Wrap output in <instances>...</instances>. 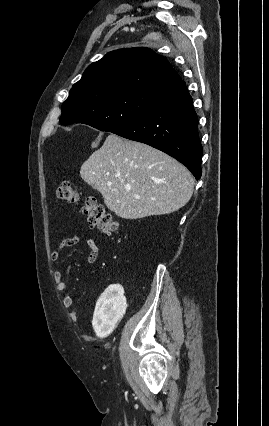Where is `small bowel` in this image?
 <instances>
[{
	"instance_id": "obj_1",
	"label": "small bowel",
	"mask_w": 269,
	"mask_h": 426,
	"mask_svg": "<svg viewBox=\"0 0 269 426\" xmlns=\"http://www.w3.org/2000/svg\"><path fill=\"white\" fill-rule=\"evenodd\" d=\"M79 241V237L75 234L68 236L62 239L56 250L52 251L50 254V259L52 261L58 260L60 253L62 250L75 246ZM86 245L89 249V255L87 261L89 264H93L96 262L98 258V244L95 239L89 238L86 240ZM54 282L56 288L60 292H66L69 289L67 282L64 280L63 272L61 270H56L53 274ZM62 304L65 308L72 309L73 307V298L71 295H64L62 297Z\"/></svg>"
}]
</instances>
